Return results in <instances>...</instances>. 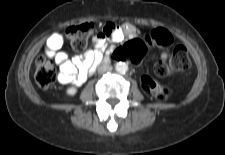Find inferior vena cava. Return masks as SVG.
Returning a JSON list of instances; mask_svg holds the SVG:
<instances>
[{
    "instance_id": "1",
    "label": "inferior vena cava",
    "mask_w": 225,
    "mask_h": 155,
    "mask_svg": "<svg viewBox=\"0 0 225 155\" xmlns=\"http://www.w3.org/2000/svg\"><path fill=\"white\" fill-rule=\"evenodd\" d=\"M111 70H112V67L110 65H106V64H104L98 68L99 73H105V72H108Z\"/></svg>"
}]
</instances>
